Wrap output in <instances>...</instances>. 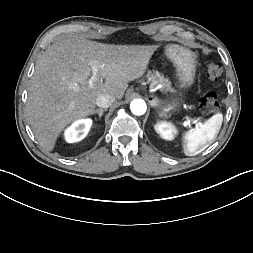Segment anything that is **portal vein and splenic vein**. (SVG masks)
<instances>
[{
  "label": "portal vein and splenic vein",
  "mask_w": 253,
  "mask_h": 253,
  "mask_svg": "<svg viewBox=\"0 0 253 253\" xmlns=\"http://www.w3.org/2000/svg\"><path fill=\"white\" fill-rule=\"evenodd\" d=\"M91 68H92V76L88 80V85H89V87L92 88L94 86V84L99 81V75H98V66L94 62H91ZM72 89H74V90L78 89L77 85L72 86ZM184 125L185 126L190 125V120L188 119V117L186 118ZM196 125L200 126V125H202V123L196 122Z\"/></svg>",
  "instance_id": "obj_1"
}]
</instances>
